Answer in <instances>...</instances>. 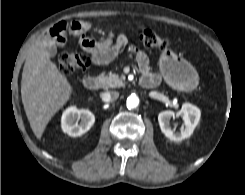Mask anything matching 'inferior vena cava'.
<instances>
[{
    "label": "inferior vena cava",
    "mask_w": 245,
    "mask_h": 195,
    "mask_svg": "<svg viewBox=\"0 0 245 195\" xmlns=\"http://www.w3.org/2000/svg\"><path fill=\"white\" fill-rule=\"evenodd\" d=\"M119 97V92L117 91H110V92H104L101 94V98L102 100L108 102V101H114L116 99H118Z\"/></svg>",
    "instance_id": "1"
}]
</instances>
